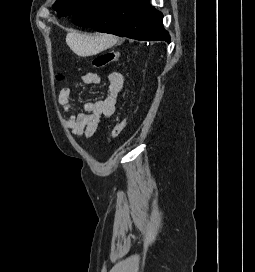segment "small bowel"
Here are the masks:
<instances>
[{
	"instance_id": "c3829d8e",
	"label": "small bowel",
	"mask_w": 255,
	"mask_h": 272,
	"mask_svg": "<svg viewBox=\"0 0 255 272\" xmlns=\"http://www.w3.org/2000/svg\"><path fill=\"white\" fill-rule=\"evenodd\" d=\"M108 89L105 98L88 101L84 104V113H75L71 104V89L64 87L59 93V103L63 106L66 126L81 138H90L96 132L101 120H107L114 114L119 96L123 90L124 77L120 72H111L107 76ZM83 85H97L100 77L93 72L82 76Z\"/></svg>"
}]
</instances>
